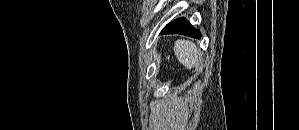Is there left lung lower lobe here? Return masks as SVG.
<instances>
[{"label": "left lung lower lobe", "mask_w": 299, "mask_h": 130, "mask_svg": "<svg viewBox=\"0 0 299 130\" xmlns=\"http://www.w3.org/2000/svg\"><path fill=\"white\" fill-rule=\"evenodd\" d=\"M161 34H183L192 38L201 37L199 30L192 27V25L185 18H178L161 31Z\"/></svg>", "instance_id": "1"}]
</instances>
